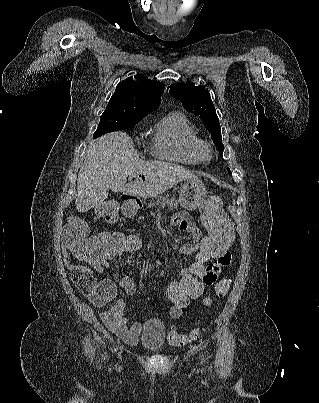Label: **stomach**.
I'll list each match as a JSON object with an SVG mask.
<instances>
[{
    "mask_svg": "<svg viewBox=\"0 0 319 403\" xmlns=\"http://www.w3.org/2000/svg\"><path fill=\"white\" fill-rule=\"evenodd\" d=\"M206 188L198 179H188L179 190L180 205L187 210H195L206 197Z\"/></svg>",
    "mask_w": 319,
    "mask_h": 403,
    "instance_id": "0dacf381",
    "label": "stomach"
}]
</instances>
